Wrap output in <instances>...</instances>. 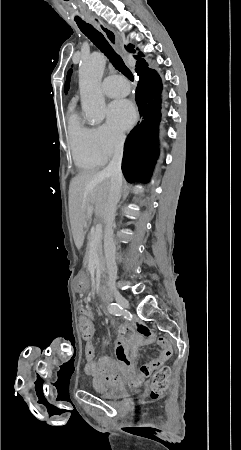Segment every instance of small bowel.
Listing matches in <instances>:
<instances>
[{"label": "small bowel", "mask_w": 241, "mask_h": 450, "mask_svg": "<svg viewBox=\"0 0 241 450\" xmlns=\"http://www.w3.org/2000/svg\"><path fill=\"white\" fill-rule=\"evenodd\" d=\"M77 288L83 291L86 285L80 282ZM80 309L82 313L80 326L81 324H93L92 311L87 306H82ZM85 318L89 319L88 323L84 322ZM152 335L150 328L142 322H136L133 326H120L118 329L119 344L116 349L117 360L106 356L95 359L97 351L93 342H85L84 355L88 361L86 372L92 377L95 388L102 390L115 385H125L132 389L139 388L151 372L160 367L171 354L166 340L159 338L158 343L162 348V354L149 364L143 365L139 373H136L134 357L138 348L144 344V338Z\"/></svg>", "instance_id": "small-bowel-1"}]
</instances>
